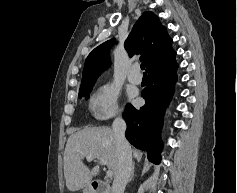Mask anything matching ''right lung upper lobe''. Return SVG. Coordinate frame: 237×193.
I'll return each instance as SVG.
<instances>
[{
	"label": "right lung upper lobe",
	"instance_id": "1",
	"mask_svg": "<svg viewBox=\"0 0 237 193\" xmlns=\"http://www.w3.org/2000/svg\"><path fill=\"white\" fill-rule=\"evenodd\" d=\"M114 42L115 39L106 41L88 55L80 89L93 86L101 72L108 67V51ZM171 44L172 39L158 17L153 12L146 11L134 25L124 46L130 56L141 53L148 69L175 52Z\"/></svg>",
	"mask_w": 237,
	"mask_h": 193
}]
</instances>
